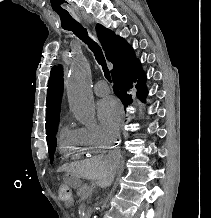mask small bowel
Returning <instances> with one entry per match:
<instances>
[{"instance_id": "obj_1", "label": "small bowel", "mask_w": 211, "mask_h": 218, "mask_svg": "<svg viewBox=\"0 0 211 218\" xmlns=\"http://www.w3.org/2000/svg\"><path fill=\"white\" fill-rule=\"evenodd\" d=\"M65 204H66L67 207H71L73 205V201L69 200Z\"/></svg>"}]
</instances>
